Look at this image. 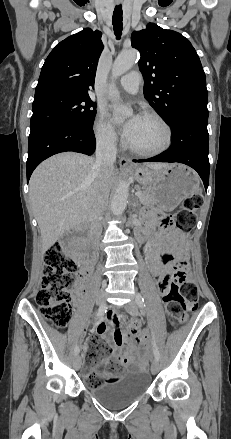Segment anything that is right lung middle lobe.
<instances>
[{"instance_id": "right-lung-middle-lobe-1", "label": "right lung middle lobe", "mask_w": 231, "mask_h": 439, "mask_svg": "<svg viewBox=\"0 0 231 439\" xmlns=\"http://www.w3.org/2000/svg\"><path fill=\"white\" fill-rule=\"evenodd\" d=\"M96 104L89 96L56 93L34 99L31 132L60 122L93 127Z\"/></svg>"}]
</instances>
